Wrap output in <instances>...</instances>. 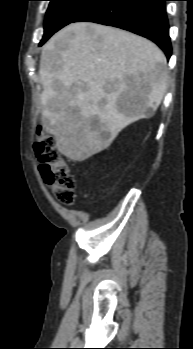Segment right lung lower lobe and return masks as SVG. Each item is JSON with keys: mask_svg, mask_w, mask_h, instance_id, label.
I'll use <instances>...</instances> for the list:
<instances>
[{"mask_svg": "<svg viewBox=\"0 0 193 349\" xmlns=\"http://www.w3.org/2000/svg\"><path fill=\"white\" fill-rule=\"evenodd\" d=\"M165 1L98 0L73 22L89 21L131 31L155 42L169 59L172 48Z\"/></svg>", "mask_w": 193, "mask_h": 349, "instance_id": "obj_1", "label": "right lung lower lobe"}]
</instances>
